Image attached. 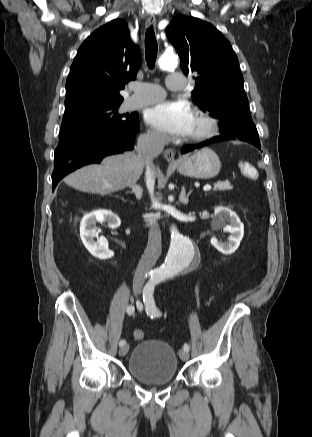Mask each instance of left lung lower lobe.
I'll return each mask as SVG.
<instances>
[{
  "instance_id": "0a47b994",
  "label": "left lung lower lobe",
  "mask_w": 312,
  "mask_h": 437,
  "mask_svg": "<svg viewBox=\"0 0 312 437\" xmlns=\"http://www.w3.org/2000/svg\"><path fill=\"white\" fill-rule=\"evenodd\" d=\"M231 139H234V138H232L230 136H227V135H220V136L214 137V138H212L210 140H207V141H205V142H203L201 144H198V145L185 146V147L182 148L181 152L182 153H186V152L192 151V150H194L196 148H201L203 146L209 145L211 143H216V142L225 141V140H231ZM251 144H253L256 147H258L259 149H261L260 142L259 143L258 142L251 143Z\"/></svg>"
}]
</instances>
